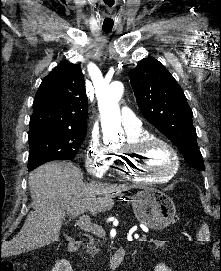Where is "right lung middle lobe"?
<instances>
[{"label":"right lung middle lobe","mask_w":221,"mask_h":271,"mask_svg":"<svg viewBox=\"0 0 221 271\" xmlns=\"http://www.w3.org/2000/svg\"><path fill=\"white\" fill-rule=\"evenodd\" d=\"M86 131L71 132L55 129H35L28 132V171L52 161L72 160L85 139Z\"/></svg>","instance_id":"right-lung-middle-lobe-1"}]
</instances>
